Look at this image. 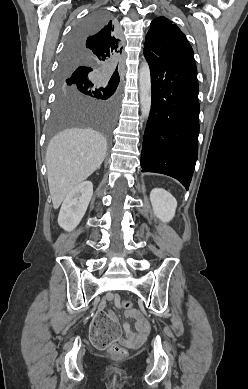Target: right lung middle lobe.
<instances>
[{
	"instance_id": "dd1d6c3e",
	"label": "right lung middle lobe",
	"mask_w": 248,
	"mask_h": 389,
	"mask_svg": "<svg viewBox=\"0 0 248 389\" xmlns=\"http://www.w3.org/2000/svg\"><path fill=\"white\" fill-rule=\"evenodd\" d=\"M109 22L106 11H93L73 30L66 48L75 39L84 38L96 32ZM62 56L57 98L50 126V137L71 127H93L107 140L115 120L119 80L110 78L108 68L86 61L81 55ZM76 69L86 73L72 76Z\"/></svg>"
}]
</instances>
